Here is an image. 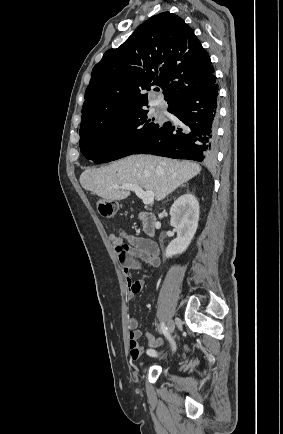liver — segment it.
<instances>
[{
	"instance_id": "liver-1",
	"label": "liver",
	"mask_w": 283,
	"mask_h": 434,
	"mask_svg": "<svg viewBox=\"0 0 283 434\" xmlns=\"http://www.w3.org/2000/svg\"><path fill=\"white\" fill-rule=\"evenodd\" d=\"M201 171L200 165L151 155H131L106 167L88 168L80 175L82 187L106 200H123L128 190L116 188L135 184L154 192L157 201L175 191Z\"/></svg>"
}]
</instances>
